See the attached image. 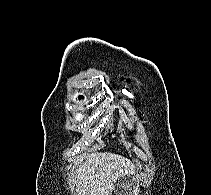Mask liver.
Masks as SVG:
<instances>
[{"mask_svg":"<svg viewBox=\"0 0 211 195\" xmlns=\"http://www.w3.org/2000/svg\"><path fill=\"white\" fill-rule=\"evenodd\" d=\"M136 167L121 155L92 152L80 161L75 173L74 195H112L119 177L135 175ZM127 195L133 194L127 190Z\"/></svg>","mask_w":211,"mask_h":195,"instance_id":"liver-1","label":"liver"}]
</instances>
